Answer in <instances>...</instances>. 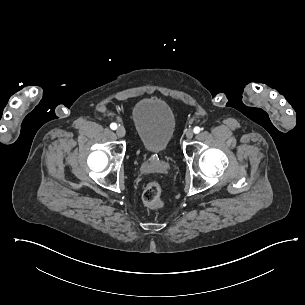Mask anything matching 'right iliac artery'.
I'll list each match as a JSON object with an SVG mask.
<instances>
[{
    "label": "right iliac artery",
    "mask_w": 305,
    "mask_h": 305,
    "mask_svg": "<svg viewBox=\"0 0 305 305\" xmlns=\"http://www.w3.org/2000/svg\"><path fill=\"white\" fill-rule=\"evenodd\" d=\"M110 128H111L112 130L117 129V124H116V123H111V124H110Z\"/></svg>",
    "instance_id": "right-iliac-artery-1"
}]
</instances>
